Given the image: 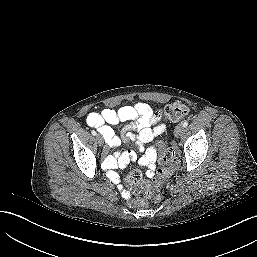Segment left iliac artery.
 <instances>
[{
	"label": "left iliac artery",
	"mask_w": 257,
	"mask_h": 257,
	"mask_svg": "<svg viewBox=\"0 0 257 257\" xmlns=\"http://www.w3.org/2000/svg\"><path fill=\"white\" fill-rule=\"evenodd\" d=\"M182 125H183V127H187L188 126V121H184Z\"/></svg>",
	"instance_id": "left-iliac-artery-1"
}]
</instances>
